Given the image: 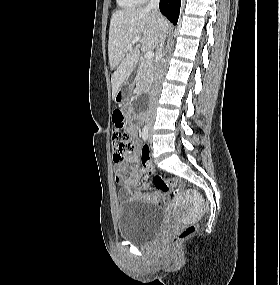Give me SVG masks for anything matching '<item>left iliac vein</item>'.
<instances>
[{
	"instance_id": "4c4485c4",
	"label": "left iliac vein",
	"mask_w": 280,
	"mask_h": 285,
	"mask_svg": "<svg viewBox=\"0 0 280 285\" xmlns=\"http://www.w3.org/2000/svg\"><path fill=\"white\" fill-rule=\"evenodd\" d=\"M151 141H152V138H151V132H150L149 142H151Z\"/></svg>"
}]
</instances>
